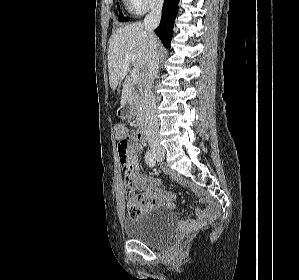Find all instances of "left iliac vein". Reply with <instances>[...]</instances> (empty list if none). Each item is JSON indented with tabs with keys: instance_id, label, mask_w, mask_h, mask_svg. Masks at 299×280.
<instances>
[{
	"instance_id": "4c4485c4",
	"label": "left iliac vein",
	"mask_w": 299,
	"mask_h": 280,
	"mask_svg": "<svg viewBox=\"0 0 299 280\" xmlns=\"http://www.w3.org/2000/svg\"><path fill=\"white\" fill-rule=\"evenodd\" d=\"M155 158L157 161H162L164 158V155H156Z\"/></svg>"
}]
</instances>
